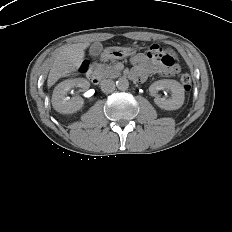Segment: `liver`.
I'll use <instances>...</instances> for the list:
<instances>
[{"label":"liver","mask_w":232,"mask_h":232,"mask_svg":"<svg viewBox=\"0 0 232 232\" xmlns=\"http://www.w3.org/2000/svg\"><path fill=\"white\" fill-rule=\"evenodd\" d=\"M88 43L65 45L57 54L50 69L47 87L53 86L60 78L76 72L82 64Z\"/></svg>","instance_id":"1"}]
</instances>
